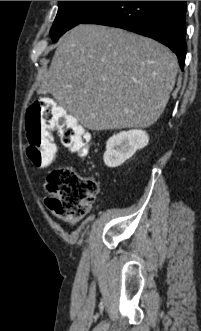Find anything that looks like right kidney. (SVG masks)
I'll use <instances>...</instances> for the list:
<instances>
[{
	"label": "right kidney",
	"mask_w": 201,
	"mask_h": 331,
	"mask_svg": "<svg viewBox=\"0 0 201 331\" xmlns=\"http://www.w3.org/2000/svg\"><path fill=\"white\" fill-rule=\"evenodd\" d=\"M149 141L143 130L122 131L110 137L106 143L103 160L108 167H117L130 159L138 149L144 148Z\"/></svg>",
	"instance_id": "obj_1"
}]
</instances>
